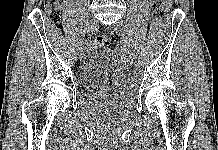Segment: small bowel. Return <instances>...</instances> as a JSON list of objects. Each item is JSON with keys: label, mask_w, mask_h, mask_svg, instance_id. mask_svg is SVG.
<instances>
[{"label": "small bowel", "mask_w": 218, "mask_h": 150, "mask_svg": "<svg viewBox=\"0 0 218 150\" xmlns=\"http://www.w3.org/2000/svg\"><path fill=\"white\" fill-rule=\"evenodd\" d=\"M173 0H164V3L166 5L167 8H169L171 6Z\"/></svg>", "instance_id": "c3829d8e"}]
</instances>
